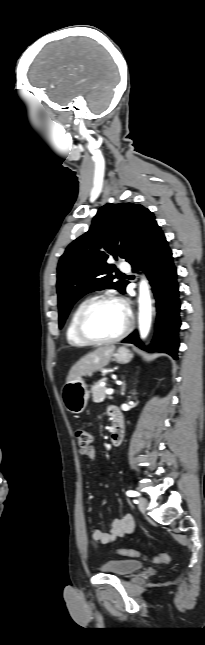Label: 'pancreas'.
Listing matches in <instances>:
<instances>
[{
    "mask_svg": "<svg viewBox=\"0 0 205 645\" xmlns=\"http://www.w3.org/2000/svg\"><path fill=\"white\" fill-rule=\"evenodd\" d=\"M104 380L105 379H102L92 386L91 392H92V397L94 402H97V403L101 402L106 397L105 391L107 390V387L100 385V383Z\"/></svg>",
    "mask_w": 205,
    "mask_h": 645,
    "instance_id": "obj_1",
    "label": "pancreas"
}]
</instances>
